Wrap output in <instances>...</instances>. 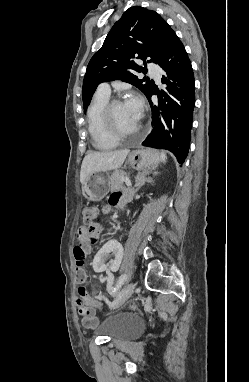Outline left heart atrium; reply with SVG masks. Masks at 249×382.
I'll return each mask as SVG.
<instances>
[{"mask_svg": "<svg viewBox=\"0 0 249 382\" xmlns=\"http://www.w3.org/2000/svg\"><path fill=\"white\" fill-rule=\"evenodd\" d=\"M125 104L136 118H141L143 112V102L140 97L137 95H132L125 101Z\"/></svg>", "mask_w": 249, "mask_h": 382, "instance_id": "left-heart-atrium-1", "label": "left heart atrium"}]
</instances>
